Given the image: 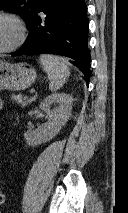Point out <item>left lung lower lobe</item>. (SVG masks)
Masks as SVG:
<instances>
[{
    "label": "left lung lower lobe",
    "instance_id": "1",
    "mask_svg": "<svg viewBox=\"0 0 128 213\" xmlns=\"http://www.w3.org/2000/svg\"><path fill=\"white\" fill-rule=\"evenodd\" d=\"M43 12V16L40 13ZM85 0H39L28 26V38L22 47L11 53H51L66 56L90 78L88 19Z\"/></svg>",
    "mask_w": 128,
    "mask_h": 213
}]
</instances>
